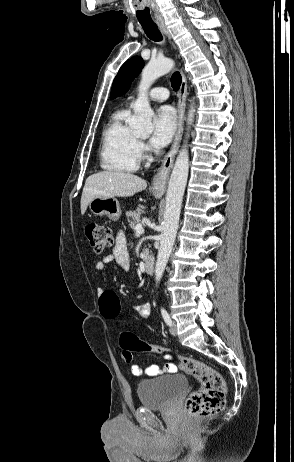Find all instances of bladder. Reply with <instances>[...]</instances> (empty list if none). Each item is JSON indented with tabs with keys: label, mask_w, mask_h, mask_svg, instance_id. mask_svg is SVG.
Masks as SVG:
<instances>
[{
	"label": "bladder",
	"mask_w": 294,
	"mask_h": 462,
	"mask_svg": "<svg viewBox=\"0 0 294 462\" xmlns=\"http://www.w3.org/2000/svg\"><path fill=\"white\" fill-rule=\"evenodd\" d=\"M187 389L186 377L173 374L138 382L137 396L144 408L161 409L175 402Z\"/></svg>",
	"instance_id": "bladder-1"
}]
</instances>
